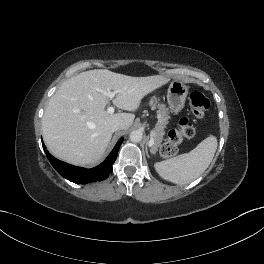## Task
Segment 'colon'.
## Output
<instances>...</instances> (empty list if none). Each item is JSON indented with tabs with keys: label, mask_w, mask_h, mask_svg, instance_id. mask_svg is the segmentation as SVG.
Here are the masks:
<instances>
[{
	"label": "colon",
	"mask_w": 264,
	"mask_h": 264,
	"mask_svg": "<svg viewBox=\"0 0 264 264\" xmlns=\"http://www.w3.org/2000/svg\"><path fill=\"white\" fill-rule=\"evenodd\" d=\"M190 111L196 118H202L210 108L209 100L201 92H191L188 98ZM195 134V127L192 122L184 117L179 121L177 129L168 134L167 141L161 147V154L168 158L176 154L179 144L185 138H191Z\"/></svg>",
	"instance_id": "obj_1"
}]
</instances>
